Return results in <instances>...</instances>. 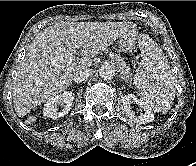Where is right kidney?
<instances>
[{
    "mask_svg": "<svg viewBox=\"0 0 196 166\" xmlns=\"http://www.w3.org/2000/svg\"><path fill=\"white\" fill-rule=\"evenodd\" d=\"M73 100L74 93L69 91L52 97L44 104L43 115L54 120L64 117L70 111ZM58 107H62L60 112Z\"/></svg>",
    "mask_w": 196,
    "mask_h": 166,
    "instance_id": "1",
    "label": "right kidney"
}]
</instances>
